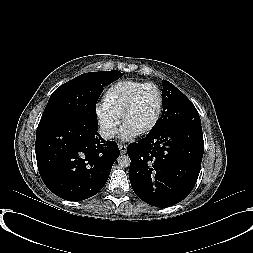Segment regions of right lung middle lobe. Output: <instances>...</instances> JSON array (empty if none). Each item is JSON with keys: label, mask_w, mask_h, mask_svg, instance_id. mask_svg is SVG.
Returning <instances> with one entry per match:
<instances>
[{"label": "right lung middle lobe", "mask_w": 253, "mask_h": 253, "mask_svg": "<svg viewBox=\"0 0 253 253\" xmlns=\"http://www.w3.org/2000/svg\"><path fill=\"white\" fill-rule=\"evenodd\" d=\"M122 75L120 71L90 72L61 85L52 93L37 129L71 119H83L97 125V100L103 88Z\"/></svg>", "instance_id": "obj_1"}]
</instances>
